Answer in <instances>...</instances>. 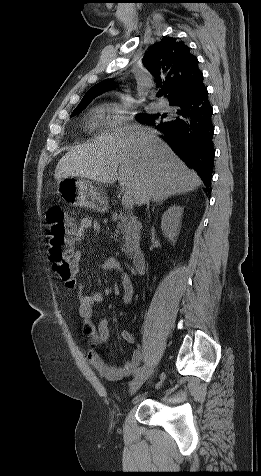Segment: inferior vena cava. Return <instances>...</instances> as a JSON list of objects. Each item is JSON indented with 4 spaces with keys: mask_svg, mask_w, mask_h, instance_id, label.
I'll list each match as a JSON object with an SVG mask.
<instances>
[{
    "mask_svg": "<svg viewBox=\"0 0 261 476\" xmlns=\"http://www.w3.org/2000/svg\"><path fill=\"white\" fill-rule=\"evenodd\" d=\"M147 205H149V200L147 201Z\"/></svg>",
    "mask_w": 261,
    "mask_h": 476,
    "instance_id": "602c4592",
    "label": "inferior vena cava"
}]
</instances>
